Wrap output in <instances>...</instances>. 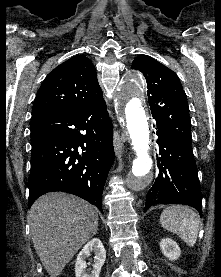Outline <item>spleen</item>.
Instances as JSON below:
<instances>
[{"label":"spleen","instance_id":"3e777b00","mask_svg":"<svg viewBox=\"0 0 221 277\" xmlns=\"http://www.w3.org/2000/svg\"><path fill=\"white\" fill-rule=\"evenodd\" d=\"M160 224L179 237L190 247L194 246L198 236L199 218L197 213L181 205H173L163 210Z\"/></svg>","mask_w":221,"mask_h":277}]
</instances>
